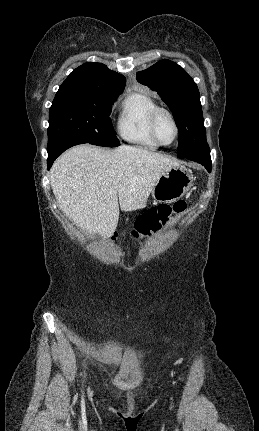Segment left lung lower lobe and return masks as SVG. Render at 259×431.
<instances>
[{
    "mask_svg": "<svg viewBox=\"0 0 259 431\" xmlns=\"http://www.w3.org/2000/svg\"><path fill=\"white\" fill-rule=\"evenodd\" d=\"M186 159L196 161L200 164H202L208 172H211V158L210 153L209 154H203V155H194L191 157H188Z\"/></svg>",
    "mask_w": 259,
    "mask_h": 431,
    "instance_id": "obj_1",
    "label": "left lung lower lobe"
}]
</instances>
